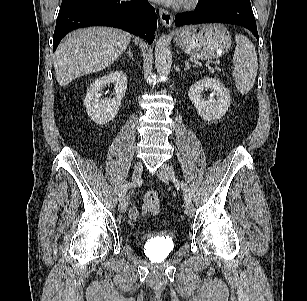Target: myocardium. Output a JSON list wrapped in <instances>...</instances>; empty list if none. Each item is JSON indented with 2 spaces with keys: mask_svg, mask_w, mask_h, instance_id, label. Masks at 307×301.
I'll return each mask as SVG.
<instances>
[{
  "mask_svg": "<svg viewBox=\"0 0 307 301\" xmlns=\"http://www.w3.org/2000/svg\"><path fill=\"white\" fill-rule=\"evenodd\" d=\"M198 0H185L186 7H194L197 4Z\"/></svg>",
  "mask_w": 307,
  "mask_h": 301,
  "instance_id": "obj_1",
  "label": "myocardium"
}]
</instances>
